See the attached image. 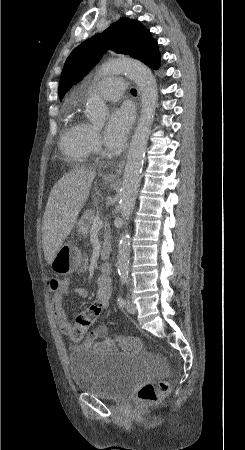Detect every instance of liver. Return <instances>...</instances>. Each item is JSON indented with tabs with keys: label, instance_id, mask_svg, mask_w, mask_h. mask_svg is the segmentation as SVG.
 Wrapping results in <instances>:
<instances>
[{
	"label": "liver",
	"instance_id": "obj_1",
	"mask_svg": "<svg viewBox=\"0 0 245 450\" xmlns=\"http://www.w3.org/2000/svg\"><path fill=\"white\" fill-rule=\"evenodd\" d=\"M95 176V169L81 167L53 186L42 220V245L49 265L74 227Z\"/></svg>",
	"mask_w": 245,
	"mask_h": 450
}]
</instances>
